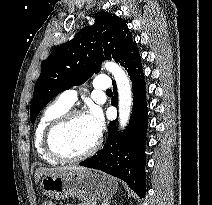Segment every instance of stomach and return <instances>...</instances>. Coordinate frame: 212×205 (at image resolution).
<instances>
[{
	"instance_id": "stomach-1",
	"label": "stomach",
	"mask_w": 212,
	"mask_h": 205,
	"mask_svg": "<svg viewBox=\"0 0 212 205\" xmlns=\"http://www.w3.org/2000/svg\"><path fill=\"white\" fill-rule=\"evenodd\" d=\"M117 181L99 172L60 171L44 175L40 189L49 198L64 200L69 197L96 204L108 201L116 193Z\"/></svg>"
}]
</instances>
